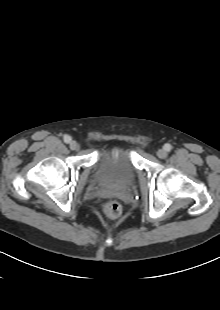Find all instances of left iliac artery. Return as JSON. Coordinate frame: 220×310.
Wrapping results in <instances>:
<instances>
[{
  "label": "left iliac artery",
  "mask_w": 220,
  "mask_h": 310,
  "mask_svg": "<svg viewBox=\"0 0 220 310\" xmlns=\"http://www.w3.org/2000/svg\"><path fill=\"white\" fill-rule=\"evenodd\" d=\"M167 152L171 151L172 150V146L170 144H165L164 147H163Z\"/></svg>",
  "instance_id": "1"
}]
</instances>
